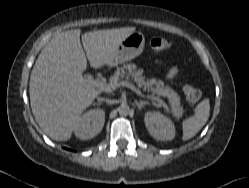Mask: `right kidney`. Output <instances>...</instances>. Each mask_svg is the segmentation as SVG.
Here are the masks:
<instances>
[{
  "label": "right kidney",
  "mask_w": 249,
  "mask_h": 188,
  "mask_svg": "<svg viewBox=\"0 0 249 188\" xmlns=\"http://www.w3.org/2000/svg\"><path fill=\"white\" fill-rule=\"evenodd\" d=\"M105 123V112L102 109H91L79 117L74 129L77 138L89 140L102 130Z\"/></svg>",
  "instance_id": "obj_1"
}]
</instances>
